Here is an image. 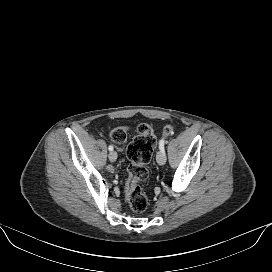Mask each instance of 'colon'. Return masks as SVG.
Segmentation results:
<instances>
[{"label":"colon","instance_id":"obj_1","mask_svg":"<svg viewBox=\"0 0 272 272\" xmlns=\"http://www.w3.org/2000/svg\"><path fill=\"white\" fill-rule=\"evenodd\" d=\"M172 132L171 126H165L163 135L168 136ZM128 129L125 126L114 128L110 132V138L114 142H123L127 138ZM156 146V137L149 124L142 123L137 127V135L127 147L128 178L125 184V197L130 208L135 213H143L147 209L148 199L140 186L147 179L148 170L146 164L151 160Z\"/></svg>","mask_w":272,"mask_h":272}]
</instances>
